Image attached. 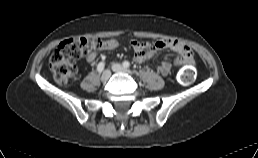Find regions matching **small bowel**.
<instances>
[{"label":"small bowel","instance_id":"c3829d8e","mask_svg":"<svg viewBox=\"0 0 258 158\" xmlns=\"http://www.w3.org/2000/svg\"><path fill=\"white\" fill-rule=\"evenodd\" d=\"M130 44L134 50V61L136 63H143L164 49H171L177 52L178 56L173 63L163 61L159 64L157 70L164 76L170 74L174 66L191 64L193 62V53L191 48L186 43L177 39H162L153 43L132 40ZM118 45L119 43L116 39H106L102 41L99 50H113L117 48ZM96 57V50H91L87 54L86 59L91 63L95 61Z\"/></svg>","mask_w":258,"mask_h":158}]
</instances>
